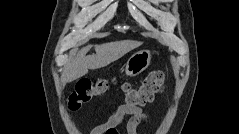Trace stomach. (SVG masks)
<instances>
[{
    "label": "stomach",
    "mask_w": 239,
    "mask_h": 134,
    "mask_svg": "<svg viewBox=\"0 0 239 134\" xmlns=\"http://www.w3.org/2000/svg\"><path fill=\"white\" fill-rule=\"evenodd\" d=\"M151 52L149 50H141L134 53L127 61L125 72L128 76H137L148 68L151 63Z\"/></svg>",
    "instance_id": "obj_1"
}]
</instances>
